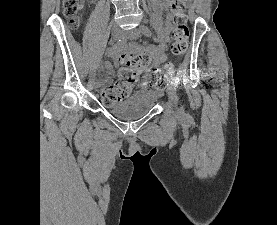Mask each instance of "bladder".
I'll use <instances>...</instances> for the list:
<instances>
[{
	"mask_svg": "<svg viewBox=\"0 0 277 225\" xmlns=\"http://www.w3.org/2000/svg\"><path fill=\"white\" fill-rule=\"evenodd\" d=\"M158 98L154 90L142 89L120 102L107 104V109L119 119L136 120L149 113L155 107Z\"/></svg>",
	"mask_w": 277,
	"mask_h": 225,
	"instance_id": "bladder-1",
	"label": "bladder"
}]
</instances>
